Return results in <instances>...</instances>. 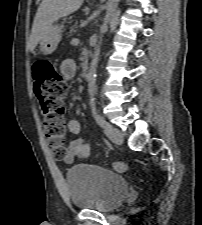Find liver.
<instances>
[{
    "mask_svg": "<svg viewBox=\"0 0 202 225\" xmlns=\"http://www.w3.org/2000/svg\"><path fill=\"white\" fill-rule=\"evenodd\" d=\"M84 0H43L32 25L30 50L33 51L43 34L62 17L77 11Z\"/></svg>",
    "mask_w": 202,
    "mask_h": 225,
    "instance_id": "1",
    "label": "liver"
}]
</instances>
